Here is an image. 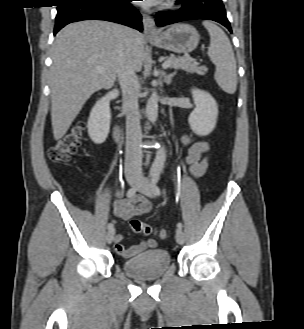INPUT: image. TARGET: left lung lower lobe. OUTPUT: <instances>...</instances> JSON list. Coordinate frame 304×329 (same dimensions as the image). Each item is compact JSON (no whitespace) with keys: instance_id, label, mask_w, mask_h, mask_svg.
<instances>
[{"instance_id":"obj_1","label":"left lung lower lobe","mask_w":304,"mask_h":329,"mask_svg":"<svg viewBox=\"0 0 304 329\" xmlns=\"http://www.w3.org/2000/svg\"><path fill=\"white\" fill-rule=\"evenodd\" d=\"M183 6L172 13H157L159 27L191 19H208L221 23L232 33L226 11L221 0H179Z\"/></svg>"}]
</instances>
